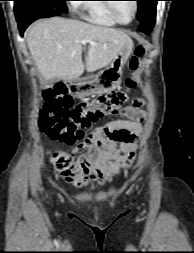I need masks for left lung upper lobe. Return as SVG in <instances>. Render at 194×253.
Segmentation results:
<instances>
[{"instance_id":"1","label":"left lung upper lobe","mask_w":194,"mask_h":253,"mask_svg":"<svg viewBox=\"0 0 194 253\" xmlns=\"http://www.w3.org/2000/svg\"><path fill=\"white\" fill-rule=\"evenodd\" d=\"M138 2L137 19L143 21L147 14L153 10L159 0H136Z\"/></svg>"}]
</instances>
